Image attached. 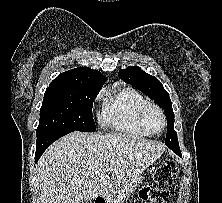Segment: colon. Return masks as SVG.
I'll list each match as a JSON object with an SVG mask.
<instances>
[{
    "instance_id": "obj_1",
    "label": "colon",
    "mask_w": 222,
    "mask_h": 203,
    "mask_svg": "<svg viewBox=\"0 0 222 203\" xmlns=\"http://www.w3.org/2000/svg\"><path fill=\"white\" fill-rule=\"evenodd\" d=\"M178 172L179 167L173 160L164 161L156 170L151 184L142 190L141 198L149 200L150 203H165L169 187Z\"/></svg>"
}]
</instances>
